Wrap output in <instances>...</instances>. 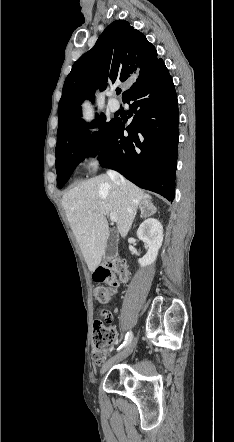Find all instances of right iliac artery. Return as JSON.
<instances>
[{"instance_id":"obj_1","label":"right iliac artery","mask_w":234,"mask_h":442,"mask_svg":"<svg viewBox=\"0 0 234 442\" xmlns=\"http://www.w3.org/2000/svg\"><path fill=\"white\" fill-rule=\"evenodd\" d=\"M133 339V334L131 331L127 332L126 337H125V341L123 342V344L119 347V349H121L123 346H127Z\"/></svg>"}]
</instances>
